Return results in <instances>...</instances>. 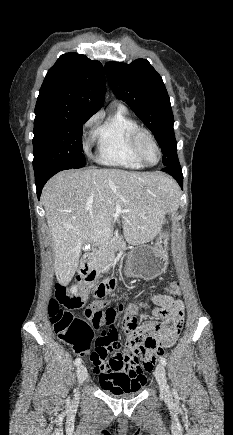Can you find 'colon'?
<instances>
[{
	"instance_id": "5ec220e1",
	"label": "colon",
	"mask_w": 233,
	"mask_h": 435,
	"mask_svg": "<svg viewBox=\"0 0 233 435\" xmlns=\"http://www.w3.org/2000/svg\"><path fill=\"white\" fill-rule=\"evenodd\" d=\"M97 278L96 272L84 273L78 276L77 284L88 286ZM173 293L172 288L166 289ZM111 299L101 296L96 305L84 308L83 299L76 294L65 282H59L55 286L53 297L49 301V319L58 339L71 347L80 355H90L93 364L105 363L120 346L104 340L95 331L106 327L118 316L117 310L110 305ZM60 304L66 308H60ZM83 317L72 310L83 309ZM121 325L127 339L122 349L123 366L130 369L134 366H143L147 371H152L156 360L164 353V350L172 342V335H166L159 339L154 326L137 325L136 310L122 306ZM115 391L118 393L130 392L133 389L129 378L125 374L115 376Z\"/></svg>"
}]
</instances>
